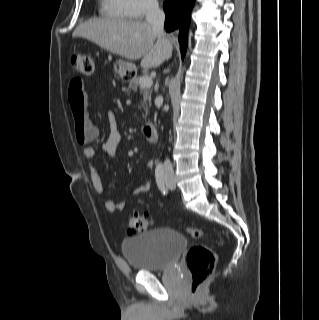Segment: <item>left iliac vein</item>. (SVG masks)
<instances>
[{"mask_svg": "<svg viewBox=\"0 0 319 320\" xmlns=\"http://www.w3.org/2000/svg\"><path fill=\"white\" fill-rule=\"evenodd\" d=\"M165 181H166V185L169 189L173 190L176 188V183H175V180L172 179V178H165Z\"/></svg>", "mask_w": 319, "mask_h": 320, "instance_id": "1", "label": "left iliac vein"}]
</instances>
